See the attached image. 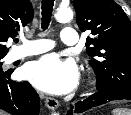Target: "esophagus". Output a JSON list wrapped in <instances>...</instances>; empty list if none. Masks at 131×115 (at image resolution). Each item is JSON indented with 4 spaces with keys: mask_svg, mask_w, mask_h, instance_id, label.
I'll list each match as a JSON object with an SVG mask.
<instances>
[{
    "mask_svg": "<svg viewBox=\"0 0 131 115\" xmlns=\"http://www.w3.org/2000/svg\"><path fill=\"white\" fill-rule=\"evenodd\" d=\"M45 105L50 109L54 110L59 106V103L56 99L51 98V97H46L45 99Z\"/></svg>",
    "mask_w": 131,
    "mask_h": 115,
    "instance_id": "1",
    "label": "esophagus"
}]
</instances>
